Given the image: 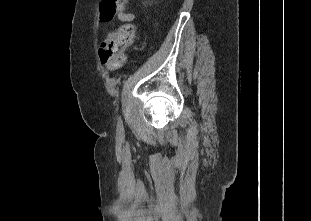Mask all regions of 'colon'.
<instances>
[{"label": "colon", "instance_id": "5ec220e1", "mask_svg": "<svg viewBox=\"0 0 311 221\" xmlns=\"http://www.w3.org/2000/svg\"><path fill=\"white\" fill-rule=\"evenodd\" d=\"M129 0H105L102 2L99 22H111L113 17H122L123 6ZM136 25L133 22L124 23L119 28L109 31L101 44L99 54L109 70L121 67L124 61L123 54L129 48L135 37Z\"/></svg>", "mask_w": 311, "mask_h": 221}]
</instances>
